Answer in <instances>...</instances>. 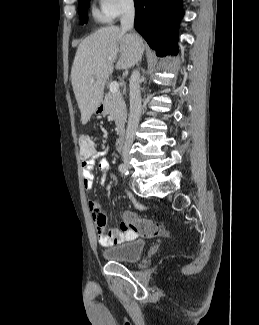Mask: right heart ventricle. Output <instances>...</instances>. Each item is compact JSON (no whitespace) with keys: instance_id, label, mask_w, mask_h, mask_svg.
<instances>
[{"instance_id":"obj_1","label":"right heart ventricle","mask_w":259,"mask_h":325,"mask_svg":"<svg viewBox=\"0 0 259 325\" xmlns=\"http://www.w3.org/2000/svg\"><path fill=\"white\" fill-rule=\"evenodd\" d=\"M93 15H94L97 19L105 20V19L103 18V16L100 14V12H98L96 9L93 10Z\"/></svg>"}]
</instances>
